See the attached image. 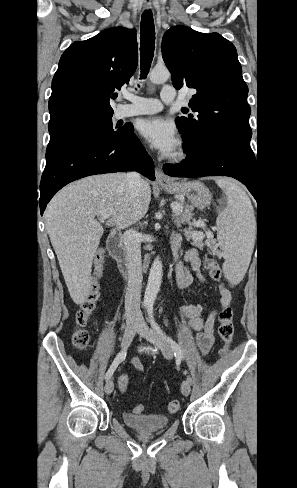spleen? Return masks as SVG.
Instances as JSON below:
<instances>
[{
  "instance_id": "obj_1",
  "label": "spleen",
  "mask_w": 297,
  "mask_h": 488,
  "mask_svg": "<svg viewBox=\"0 0 297 488\" xmlns=\"http://www.w3.org/2000/svg\"><path fill=\"white\" fill-rule=\"evenodd\" d=\"M227 196L217 217V238L224 252L223 272L232 283L243 279L254 249L256 220L251 201L239 184L229 178L216 180Z\"/></svg>"
}]
</instances>
